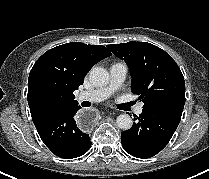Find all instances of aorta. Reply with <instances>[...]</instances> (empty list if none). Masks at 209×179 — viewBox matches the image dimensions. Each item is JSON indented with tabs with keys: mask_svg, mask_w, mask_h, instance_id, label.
Instances as JSON below:
<instances>
[{
	"mask_svg": "<svg viewBox=\"0 0 209 179\" xmlns=\"http://www.w3.org/2000/svg\"><path fill=\"white\" fill-rule=\"evenodd\" d=\"M109 73L102 67H94L90 70L89 80L95 86H105L109 82ZM117 126L122 130L132 127V119L128 114H121L116 119Z\"/></svg>",
	"mask_w": 209,
	"mask_h": 179,
	"instance_id": "obj_1",
	"label": "aorta"
}]
</instances>
